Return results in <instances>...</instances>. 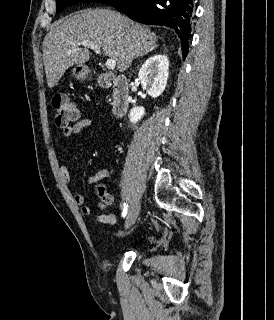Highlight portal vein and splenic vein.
Here are the masks:
<instances>
[{"mask_svg":"<svg viewBox=\"0 0 274 320\" xmlns=\"http://www.w3.org/2000/svg\"><path fill=\"white\" fill-rule=\"evenodd\" d=\"M82 46H86V48H91V50H94L96 54H102L100 48H98L96 44H90V42H82ZM105 66L106 68H108V70H115L116 62L115 60H113V58H109V60H106Z\"/></svg>","mask_w":274,"mask_h":320,"instance_id":"1","label":"portal vein and splenic vein"}]
</instances>
